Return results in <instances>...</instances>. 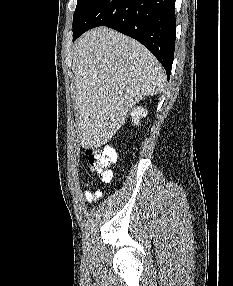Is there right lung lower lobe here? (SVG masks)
<instances>
[{"label":"right lung lower lobe","instance_id":"right-lung-lower-lobe-1","mask_svg":"<svg viewBox=\"0 0 233 286\" xmlns=\"http://www.w3.org/2000/svg\"><path fill=\"white\" fill-rule=\"evenodd\" d=\"M175 0H93L73 27V41L85 31L108 26L147 47L170 77L175 47Z\"/></svg>","mask_w":233,"mask_h":286}]
</instances>
